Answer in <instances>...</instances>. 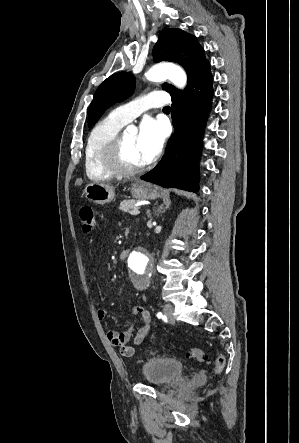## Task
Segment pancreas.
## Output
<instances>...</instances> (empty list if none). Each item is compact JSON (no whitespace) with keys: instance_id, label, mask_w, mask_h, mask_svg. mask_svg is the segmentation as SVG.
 Instances as JSON below:
<instances>
[{"instance_id":"cf45deb5","label":"pancreas","mask_w":299,"mask_h":443,"mask_svg":"<svg viewBox=\"0 0 299 443\" xmlns=\"http://www.w3.org/2000/svg\"><path fill=\"white\" fill-rule=\"evenodd\" d=\"M136 200H124L120 203L119 209L123 212H130L131 210L138 208L136 207Z\"/></svg>"}]
</instances>
